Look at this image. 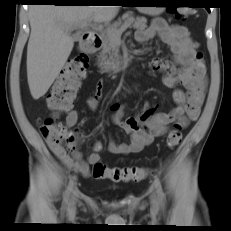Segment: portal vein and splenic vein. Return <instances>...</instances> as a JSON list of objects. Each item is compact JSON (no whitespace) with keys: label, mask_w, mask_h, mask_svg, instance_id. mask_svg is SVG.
I'll return each mask as SVG.
<instances>
[{"label":"portal vein and splenic vein","mask_w":231,"mask_h":231,"mask_svg":"<svg viewBox=\"0 0 231 231\" xmlns=\"http://www.w3.org/2000/svg\"><path fill=\"white\" fill-rule=\"evenodd\" d=\"M89 25H91V21H86V22H83L81 25H79L78 27L79 28H86L88 27ZM131 25V22H126L125 24H123L121 26L120 29L116 30V31H111V36L114 40H118L121 38V35L124 31L127 30V28Z\"/></svg>","instance_id":"1"}]
</instances>
